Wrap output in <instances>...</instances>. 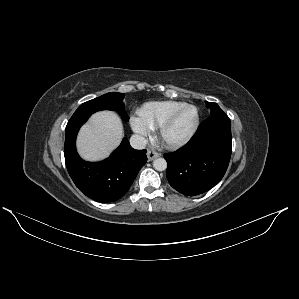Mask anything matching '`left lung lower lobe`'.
I'll use <instances>...</instances> for the list:
<instances>
[{
  "mask_svg": "<svg viewBox=\"0 0 299 299\" xmlns=\"http://www.w3.org/2000/svg\"><path fill=\"white\" fill-rule=\"evenodd\" d=\"M231 152L230 119L225 114L211 115L185 146L164 154L166 177L174 189L186 196L202 194L222 179Z\"/></svg>",
  "mask_w": 299,
  "mask_h": 299,
  "instance_id": "1",
  "label": "left lung lower lobe"
}]
</instances>
